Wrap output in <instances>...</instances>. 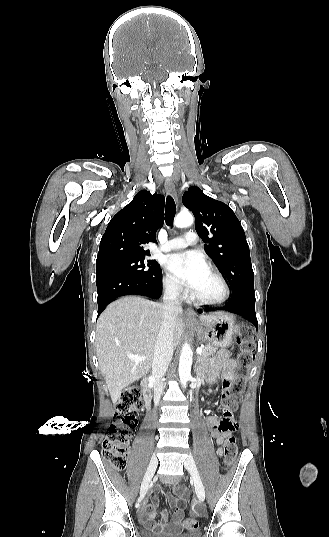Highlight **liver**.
I'll use <instances>...</instances> for the list:
<instances>
[{
  "mask_svg": "<svg viewBox=\"0 0 329 537\" xmlns=\"http://www.w3.org/2000/svg\"><path fill=\"white\" fill-rule=\"evenodd\" d=\"M162 305L141 297H123L100 315L96 326V352L111 399L115 403L122 391L140 379L151 368L155 342L162 322ZM222 313L200 316L208 325ZM183 322L177 315L174 325L173 346L182 333ZM128 354L145 356L142 362L128 358Z\"/></svg>",
  "mask_w": 329,
  "mask_h": 537,
  "instance_id": "1",
  "label": "liver"
}]
</instances>
